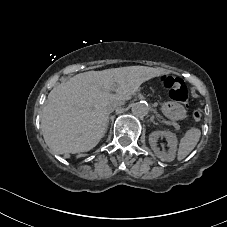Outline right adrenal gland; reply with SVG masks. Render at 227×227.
<instances>
[{
    "mask_svg": "<svg viewBox=\"0 0 227 227\" xmlns=\"http://www.w3.org/2000/svg\"><path fill=\"white\" fill-rule=\"evenodd\" d=\"M107 128H108V124L106 125V130L105 131H107Z\"/></svg>",
    "mask_w": 227,
    "mask_h": 227,
    "instance_id": "2a0ac1e0",
    "label": "right adrenal gland"
}]
</instances>
